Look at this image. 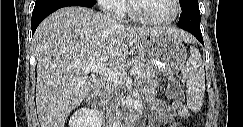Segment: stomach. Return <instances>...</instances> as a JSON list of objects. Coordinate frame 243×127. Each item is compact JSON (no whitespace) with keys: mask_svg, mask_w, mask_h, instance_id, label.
Listing matches in <instances>:
<instances>
[{"mask_svg":"<svg viewBox=\"0 0 243 127\" xmlns=\"http://www.w3.org/2000/svg\"><path fill=\"white\" fill-rule=\"evenodd\" d=\"M135 44L139 58L154 74L176 73L187 59L181 40L166 31L151 32Z\"/></svg>","mask_w":243,"mask_h":127,"instance_id":"stomach-1","label":"stomach"}]
</instances>
